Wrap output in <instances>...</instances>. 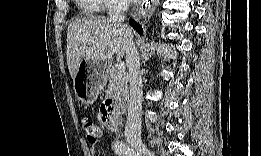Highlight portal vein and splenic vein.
<instances>
[{"label":"portal vein and splenic vein","mask_w":261,"mask_h":156,"mask_svg":"<svg viewBox=\"0 0 261 156\" xmlns=\"http://www.w3.org/2000/svg\"><path fill=\"white\" fill-rule=\"evenodd\" d=\"M116 68L117 70L119 71H125L126 70V65L124 62H119L117 65H116Z\"/></svg>","instance_id":"18ae733b"}]
</instances>
